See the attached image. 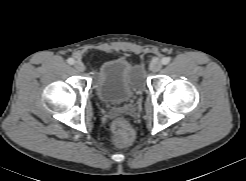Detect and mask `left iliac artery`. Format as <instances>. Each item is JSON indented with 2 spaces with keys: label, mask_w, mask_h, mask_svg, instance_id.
<instances>
[{
  "label": "left iliac artery",
  "mask_w": 246,
  "mask_h": 181,
  "mask_svg": "<svg viewBox=\"0 0 246 181\" xmlns=\"http://www.w3.org/2000/svg\"><path fill=\"white\" fill-rule=\"evenodd\" d=\"M161 62L163 65H167L170 62V58L169 57H164L161 59Z\"/></svg>",
  "instance_id": "44dca946"
}]
</instances>
